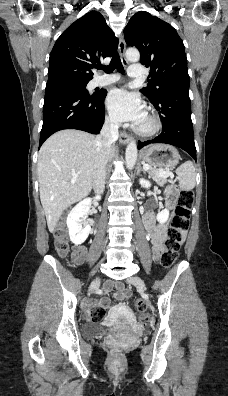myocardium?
<instances>
[{
    "instance_id": "obj_1",
    "label": "myocardium",
    "mask_w": 228,
    "mask_h": 396,
    "mask_svg": "<svg viewBox=\"0 0 228 396\" xmlns=\"http://www.w3.org/2000/svg\"><path fill=\"white\" fill-rule=\"evenodd\" d=\"M147 117L150 120V126L147 128H143L141 126H137L135 128V132L142 137H152L156 135L162 128V123L159 118V116L153 112V111H148L146 113Z\"/></svg>"
}]
</instances>
